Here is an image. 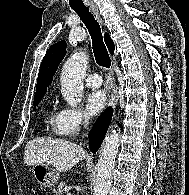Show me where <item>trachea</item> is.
Here are the masks:
<instances>
[{"label": "trachea", "instance_id": "obj_1", "mask_svg": "<svg viewBox=\"0 0 189 195\" xmlns=\"http://www.w3.org/2000/svg\"><path fill=\"white\" fill-rule=\"evenodd\" d=\"M81 18L87 27L89 34L92 38L93 52L95 60L99 66L109 68L111 66V59L108 54L107 48L103 42L101 28L94 16L89 12V8H72Z\"/></svg>", "mask_w": 189, "mask_h": 195}]
</instances>
